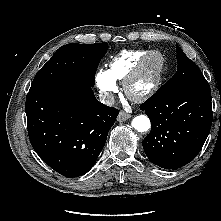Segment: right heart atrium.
<instances>
[{
    "label": "right heart atrium",
    "instance_id": "d8ad5b80",
    "mask_svg": "<svg viewBox=\"0 0 221 221\" xmlns=\"http://www.w3.org/2000/svg\"><path fill=\"white\" fill-rule=\"evenodd\" d=\"M95 83L101 96L110 100L114 93L118 91L116 79L108 69H99L95 75Z\"/></svg>",
    "mask_w": 221,
    "mask_h": 221
}]
</instances>
